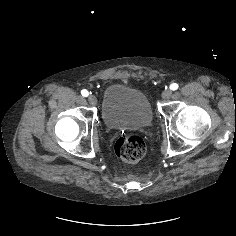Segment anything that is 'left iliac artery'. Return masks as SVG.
<instances>
[{"instance_id":"left-iliac-artery-1","label":"left iliac artery","mask_w":236,"mask_h":236,"mask_svg":"<svg viewBox=\"0 0 236 236\" xmlns=\"http://www.w3.org/2000/svg\"><path fill=\"white\" fill-rule=\"evenodd\" d=\"M178 84L177 83H172L171 85H170V89L171 90H177L178 89Z\"/></svg>"}]
</instances>
